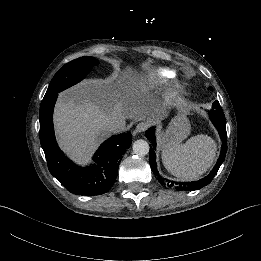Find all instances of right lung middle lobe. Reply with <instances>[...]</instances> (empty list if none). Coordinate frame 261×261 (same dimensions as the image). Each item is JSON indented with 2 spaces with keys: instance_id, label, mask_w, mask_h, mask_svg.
<instances>
[{
  "instance_id": "1",
  "label": "right lung middle lobe",
  "mask_w": 261,
  "mask_h": 261,
  "mask_svg": "<svg viewBox=\"0 0 261 261\" xmlns=\"http://www.w3.org/2000/svg\"><path fill=\"white\" fill-rule=\"evenodd\" d=\"M98 64V60L94 57H80L65 64L53 77L44 99L80 82L92 67Z\"/></svg>"
}]
</instances>
